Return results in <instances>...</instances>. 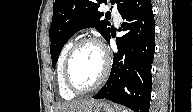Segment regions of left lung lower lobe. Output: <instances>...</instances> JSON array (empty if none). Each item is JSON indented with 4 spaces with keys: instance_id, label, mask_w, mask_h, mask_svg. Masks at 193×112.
<instances>
[{
    "instance_id": "obj_1",
    "label": "left lung lower lobe",
    "mask_w": 193,
    "mask_h": 112,
    "mask_svg": "<svg viewBox=\"0 0 193 112\" xmlns=\"http://www.w3.org/2000/svg\"><path fill=\"white\" fill-rule=\"evenodd\" d=\"M120 14L125 20L120 31L127 33L116 39L118 50L113 54L109 79L93 98H104L135 112H148L155 50L151 1L131 0Z\"/></svg>"
}]
</instances>
